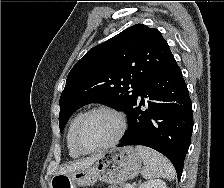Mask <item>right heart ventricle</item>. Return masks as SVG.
<instances>
[{"label":"right heart ventricle","instance_id":"right-heart-ventricle-1","mask_svg":"<svg viewBox=\"0 0 224 188\" xmlns=\"http://www.w3.org/2000/svg\"><path fill=\"white\" fill-rule=\"evenodd\" d=\"M82 115V113L77 114L70 122L69 127H68V131H67V137H66V141H67V147L69 150V154L71 157L73 158H77L81 155V153H79L74 145H73V141H72V134H73V129L75 127V124L77 122V120L79 119V117Z\"/></svg>","mask_w":224,"mask_h":188}]
</instances>
